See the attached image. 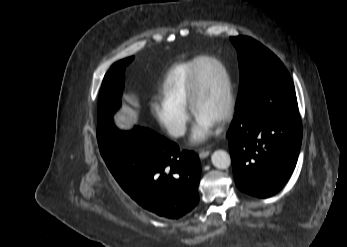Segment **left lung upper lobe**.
Here are the masks:
<instances>
[{
	"instance_id": "5c2ea615",
	"label": "left lung upper lobe",
	"mask_w": 347,
	"mask_h": 247,
	"mask_svg": "<svg viewBox=\"0 0 347 247\" xmlns=\"http://www.w3.org/2000/svg\"><path fill=\"white\" fill-rule=\"evenodd\" d=\"M238 51L240 86L236 109L242 107L263 85L290 77L282 62L256 40L238 36L230 38Z\"/></svg>"
}]
</instances>
